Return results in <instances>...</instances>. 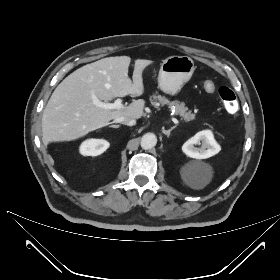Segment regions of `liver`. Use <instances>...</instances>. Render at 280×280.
<instances>
[{
  "instance_id": "6515ba94",
  "label": "liver",
  "mask_w": 280,
  "mask_h": 280,
  "mask_svg": "<svg viewBox=\"0 0 280 280\" xmlns=\"http://www.w3.org/2000/svg\"><path fill=\"white\" fill-rule=\"evenodd\" d=\"M131 58L107 57L87 64L67 76L52 93L42 116L43 142L71 141L105 126L120 116L140 119L145 101L134 100L121 109H104L95 100L107 103L115 97L141 96L142 73L152 62L135 60L132 80L128 76Z\"/></svg>"
}]
</instances>
